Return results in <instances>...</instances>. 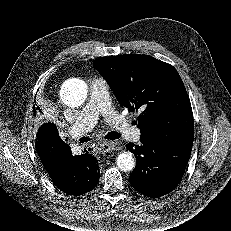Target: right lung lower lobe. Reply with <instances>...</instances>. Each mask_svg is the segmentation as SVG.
I'll use <instances>...</instances> for the list:
<instances>
[{
  "label": "right lung lower lobe",
  "instance_id": "98d812e1",
  "mask_svg": "<svg viewBox=\"0 0 231 231\" xmlns=\"http://www.w3.org/2000/svg\"><path fill=\"white\" fill-rule=\"evenodd\" d=\"M35 148L51 179L65 193L82 195L97 185L100 171L96 158L88 152L73 156L54 124L39 128Z\"/></svg>",
  "mask_w": 231,
  "mask_h": 231
}]
</instances>
